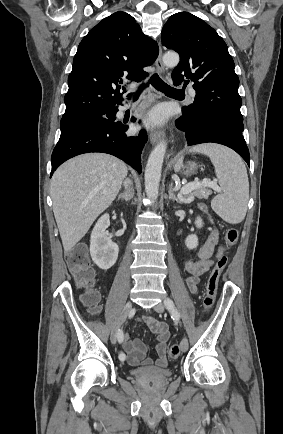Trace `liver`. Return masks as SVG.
<instances>
[{"mask_svg": "<svg viewBox=\"0 0 283 434\" xmlns=\"http://www.w3.org/2000/svg\"><path fill=\"white\" fill-rule=\"evenodd\" d=\"M126 164L108 154L86 153L62 164L51 179L53 212L65 252L87 233L118 195Z\"/></svg>", "mask_w": 283, "mask_h": 434, "instance_id": "obj_1", "label": "liver"}]
</instances>
